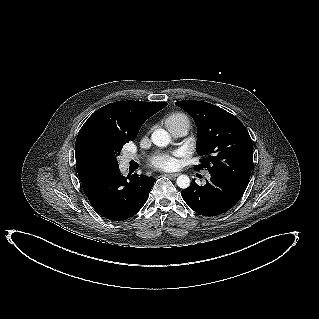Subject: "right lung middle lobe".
Instances as JSON below:
<instances>
[{
    "label": "right lung middle lobe",
    "mask_w": 319,
    "mask_h": 319,
    "mask_svg": "<svg viewBox=\"0 0 319 319\" xmlns=\"http://www.w3.org/2000/svg\"><path fill=\"white\" fill-rule=\"evenodd\" d=\"M124 144L111 143L104 140L94 139L87 144L88 152L94 157L103 160L106 164L114 170L118 168V161L116 157L120 154Z\"/></svg>",
    "instance_id": "right-lung-middle-lobe-1"
}]
</instances>
